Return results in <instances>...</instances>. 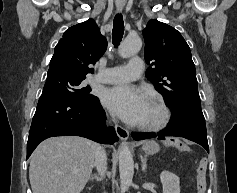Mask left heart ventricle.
<instances>
[{
    "mask_svg": "<svg viewBox=\"0 0 237 193\" xmlns=\"http://www.w3.org/2000/svg\"><path fill=\"white\" fill-rule=\"evenodd\" d=\"M159 116L160 111L158 107L151 101H148L140 123H153L159 119Z\"/></svg>",
    "mask_w": 237,
    "mask_h": 193,
    "instance_id": "obj_1",
    "label": "left heart ventricle"
}]
</instances>
